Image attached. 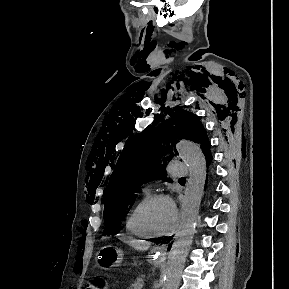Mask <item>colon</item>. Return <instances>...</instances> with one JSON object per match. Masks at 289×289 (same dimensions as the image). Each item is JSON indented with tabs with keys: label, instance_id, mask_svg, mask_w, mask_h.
Masks as SVG:
<instances>
[{
	"label": "colon",
	"instance_id": "obj_1",
	"mask_svg": "<svg viewBox=\"0 0 289 289\" xmlns=\"http://www.w3.org/2000/svg\"><path fill=\"white\" fill-rule=\"evenodd\" d=\"M86 289H105L104 285L102 284L101 280L95 278V279H92Z\"/></svg>",
	"mask_w": 289,
	"mask_h": 289
}]
</instances>
